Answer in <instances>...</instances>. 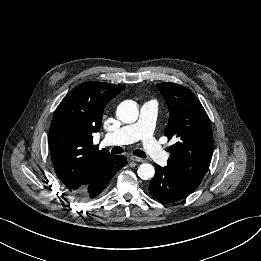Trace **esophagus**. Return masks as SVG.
Masks as SVG:
<instances>
[{
	"mask_svg": "<svg viewBox=\"0 0 261 261\" xmlns=\"http://www.w3.org/2000/svg\"><path fill=\"white\" fill-rule=\"evenodd\" d=\"M130 160L135 161V162H145L144 159L136 157V156H130Z\"/></svg>",
	"mask_w": 261,
	"mask_h": 261,
	"instance_id": "esophagus-1",
	"label": "esophagus"
}]
</instances>
